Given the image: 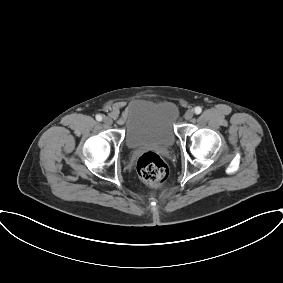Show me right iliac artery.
<instances>
[{"label": "right iliac artery", "mask_w": 283, "mask_h": 283, "mask_svg": "<svg viewBox=\"0 0 283 283\" xmlns=\"http://www.w3.org/2000/svg\"><path fill=\"white\" fill-rule=\"evenodd\" d=\"M96 120L97 121H102V116L101 115H96Z\"/></svg>", "instance_id": "1"}]
</instances>
